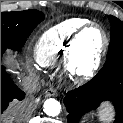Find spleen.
Returning <instances> with one entry per match:
<instances>
[{"instance_id":"obj_1","label":"spleen","mask_w":123,"mask_h":123,"mask_svg":"<svg viewBox=\"0 0 123 123\" xmlns=\"http://www.w3.org/2000/svg\"><path fill=\"white\" fill-rule=\"evenodd\" d=\"M100 120H102L103 122H108L110 120H112V111L111 108L108 106H104L101 111L98 114Z\"/></svg>"}]
</instances>
